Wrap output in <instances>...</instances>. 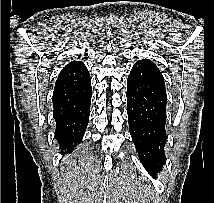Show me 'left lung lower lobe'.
<instances>
[{
    "mask_svg": "<svg viewBox=\"0 0 214 203\" xmlns=\"http://www.w3.org/2000/svg\"><path fill=\"white\" fill-rule=\"evenodd\" d=\"M129 130L139 159L156 179L165 164L167 95L162 74L149 59L133 65L127 80Z\"/></svg>",
    "mask_w": 214,
    "mask_h": 203,
    "instance_id": "obj_1",
    "label": "left lung lower lobe"
}]
</instances>
